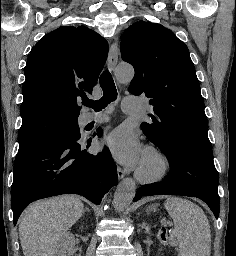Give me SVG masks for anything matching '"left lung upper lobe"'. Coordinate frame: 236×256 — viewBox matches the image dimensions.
Listing matches in <instances>:
<instances>
[{
	"label": "left lung upper lobe",
	"instance_id": "5c2ea615",
	"mask_svg": "<svg viewBox=\"0 0 236 256\" xmlns=\"http://www.w3.org/2000/svg\"><path fill=\"white\" fill-rule=\"evenodd\" d=\"M122 59L135 75L133 95L151 98L152 123L141 128L162 152L195 145L212 149L199 81L187 46L160 24L138 21L122 35Z\"/></svg>",
	"mask_w": 236,
	"mask_h": 256
}]
</instances>
